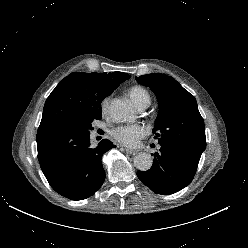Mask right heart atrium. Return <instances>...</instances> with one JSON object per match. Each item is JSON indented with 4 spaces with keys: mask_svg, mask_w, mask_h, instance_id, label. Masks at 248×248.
Wrapping results in <instances>:
<instances>
[{
    "mask_svg": "<svg viewBox=\"0 0 248 248\" xmlns=\"http://www.w3.org/2000/svg\"><path fill=\"white\" fill-rule=\"evenodd\" d=\"M110 98L106 97L101 103V110L103 113H107L109 109Z\"/></svg>",
    "mask_w": 248,
    "mask_h": 248,
    "instance_id": "d8ad5b80",
    "label": "right heart atrium"
}]
</instances>
